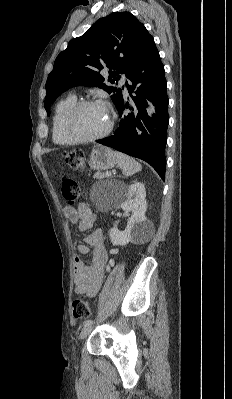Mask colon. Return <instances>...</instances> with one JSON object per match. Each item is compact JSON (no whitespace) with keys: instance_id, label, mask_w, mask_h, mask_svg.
<instances>
[{"instance_id":"colon-1","label":"colon","mask_w":232,"mask_h":399,"mask_svg":"<svg viewBox=\"0 0 232 399\" xmlns=\"http://www.w3.org/2000/svg\"><path fill=\"white\" fill-rule=\"evenodd\" d=\"M66 168H76V172H81L83 164H86V151H74L68 149V154H65ZM65 185H74L77 179L76 175H64ZM58 194H77L82 195V188L79 186H62L58 189ZM77 198H63V203H77ZM71 301H81L76 303V307H71V318L81 320V316H86V320L97 318V305H92L91 300H86V296H71Z\"/></svg>"}]
</instances>
